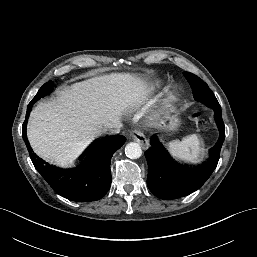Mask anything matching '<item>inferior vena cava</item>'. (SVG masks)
Wrapping results in <instances>:
<instances>
[{"label": "inferior vena cava", "mask_w": 257, "mask_h": 257, "mask_svg": "<svg viewBox=\"0 0 257 257\" xmlns=\"http://www.w3.org/2000/svg\"><path fill=\"white\" fill-rule=\"evenodd\" d=\"M120 131V125L119 124H114L110 125L105 129V134L113 135V134H118Z\"/></svg>", "instance_id": "inferior-vena-cava-1"}]
</instances>
